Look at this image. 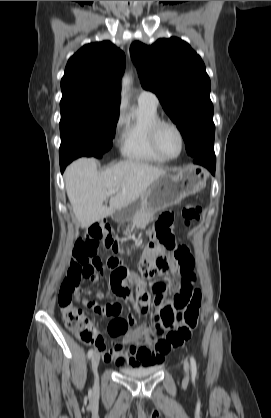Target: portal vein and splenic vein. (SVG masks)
<instances>
[{
  "mask_svg": "<svg viewBox=\"0 0 271 418\" xmlns=\"http://www.w3.org/2000/svg\"><path fill=\"white\" fill-rule=\"evenodd\" d=\"M115 192H116V190H110V191L107 192V196H110V195H112Z\"/></svg>",
  "mask_w": 271,
  "mask_h": 418,
  "instance_id": "obj_1",
  "label": "portal vein and splenic vein"
}]
</instances>
